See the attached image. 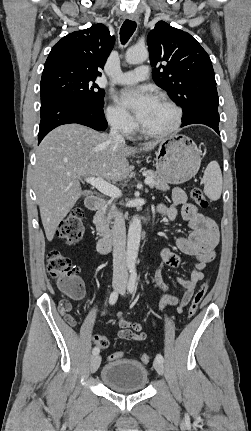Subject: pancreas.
<instances>
[{"mask_svg": "<svg viewBox=\"0 0 251 431\" xmlns=\"http://www.w3.org/2000/svg\"><path fill=\"white\" fill-rule=\"evenodd\" d=\"M145 175L147 177H151L153 180L152 183L149 184L150 188H156L158 190H163V191H166L169 189L168 184L163 179L160 178V176L157 174V172H154L152 170H147L145 172ZM115 215H116L115 204H113L111 206H106L98 212V216L100 217V220H101V225L104 228V232L106 234L110 233L109 225L111 223V219Z\"/></svg>", "mask_w": 251, "mask_h": 431, "instance_id": "obj_1", "label": "pancreas"}]
</instances>
